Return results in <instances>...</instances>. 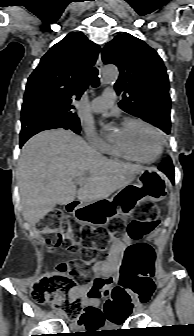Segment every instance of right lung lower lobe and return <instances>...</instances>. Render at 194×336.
Masks as SVG:
<instances>
[{
  "instance_id": "1",
  "label": "right lung lower lobe",
  "mask_w": 194,
  "mask_h": 336,
  "mask_svg": "<svg viewBox=\"0 0 194 336\" xmlns=\"http://www.w3.org/2000/svg\"><path fill=\"white\" fill-rule=\"evenodd\" d=\"M26 141H20V147H22V145L25 143Z\"/></svg>"
}]
</instances>
